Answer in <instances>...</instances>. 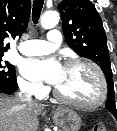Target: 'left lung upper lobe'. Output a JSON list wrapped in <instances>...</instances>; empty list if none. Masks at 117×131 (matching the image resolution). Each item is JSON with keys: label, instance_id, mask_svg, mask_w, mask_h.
<instances>
[{"label": "left lung upper lobe", "instance_id": "left-lung-upper-lobe-1", "mask_svg": "<svg viewBox=\"0 0 117 131\" xmlns=\"http://www.w3.org/2000/svg\"><path fill=\"white\" fill-rule=\"evenodd\" d=\"M57 8L62 15L63 33L68 45L103 70L108 85L106 108L117 119L107 39L95 6L89 0H62Z\"/></svg>", "mask_w": 117, "mask_h": 131}]
</instances>
